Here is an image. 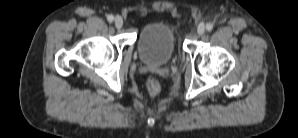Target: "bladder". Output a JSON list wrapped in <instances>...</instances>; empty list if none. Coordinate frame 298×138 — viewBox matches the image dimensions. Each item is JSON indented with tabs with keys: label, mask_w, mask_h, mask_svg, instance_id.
<instances>
[{
	"label": "bladder",
	"mask_w": 298,
	"mask_h": 138,
	"mask_svg": "<svg viewBox=\"0 0 298 138\" xmlns=\"http://www.w3.org/2000/svg\"><path fill=\"white\" fill-rule=\"evenodd\" d=\"M176 46V30L172 24L163 20L147 23L137 39L139 56L149 65L166 64L174 55Z\"/></svg>",
	"instance_id": "obj_1"
}]
</instances>
